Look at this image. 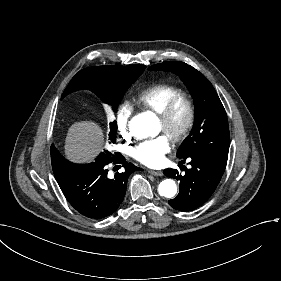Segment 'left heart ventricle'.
<instances>
[{"label":"left heart ventricle","instance_id":"b2bd125f","mask_svg":"<svg viewBox=\"0 0 281 281\" xmlns=\"http://www.w3.org/2000/svg\"><path fill=\"white\" fill-rule=\"evenodd\" d=\"M185 116H186L185 108H184L183 104H179L175 108V110L171 116V119H170L171 128L174 130L179 129L182 126V124L184 123ZM157 129H158V132L162 131V125L158 119H157Z\"/></svg>","mask_w":281,"mask_h":281}]
</instances>
